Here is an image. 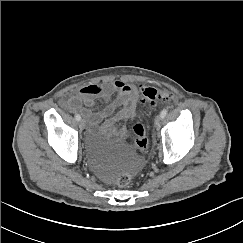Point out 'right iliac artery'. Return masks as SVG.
Here are the masks:
<instances>
[{
	"mask_svg": "<svg viewBox=\"0 0 243 243\" xmlns=\"http://www.w3.org/2000/svg\"><path fill=\"white\" fill-rule=\"evenodd\" d=\"M75 119H76L77 121H80V120H81L80 115H79V114H76V115H75Z\"/></svg>",
	"mask_w": 243,
	"mask_h": 243,
	"instance_id": "obj_1",
	"label": "right iliac artery"
}]
</instances>
